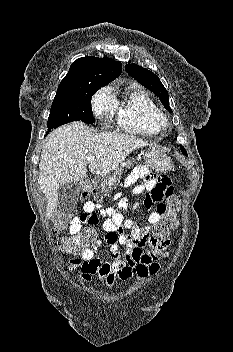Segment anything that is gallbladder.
Listing matches in <instances>:
<instances>
[{"label": "gallbladder", "instance_id": "bac80fb5", "mask_svg": "<svg viewBox=\"0 0 233 352\" xmlns=\"http://www.w3.org/2000/svg\"><path fill=\"white\" fill-rule=\"evenodd\" d=\"M81 186L76 182L65 183L60 186L56 209L59 213H70L77 205Z\"/></svg>", "mask_w": 233, "mask_h": 352}]
</instances>
